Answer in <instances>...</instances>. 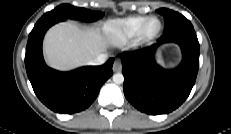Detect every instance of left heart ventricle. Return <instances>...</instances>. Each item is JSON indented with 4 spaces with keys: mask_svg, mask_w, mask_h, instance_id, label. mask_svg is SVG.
Wrapping results in <instances>:
<instances>
[{
    "mask_svg": "<svg viewBox=\"0 0 231 134\" xmlns=\"http://www.w3.org/2000/svg\"><path fill=\"white\" fill-rule=\"evenodd\" d=\"M157 28H158V22L157 21H152L150 23V25H149L148 30H149V32H154V31L157 30Z\"/></svg>",
    "mask_w": 231,
    "mask_h": 134,
    "instance_id": "obj_1",
    "label": "left heart ventricle"
}]
</instances>
